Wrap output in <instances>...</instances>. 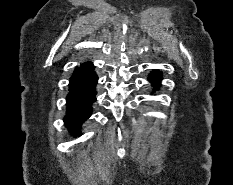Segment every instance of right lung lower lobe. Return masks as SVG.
Masks as SVG:
<instances>
[{"label":"right lung lower lobe","instance_id":"obj_1","mask_svg":"<svg viewBox=\"0 0 233 185\" xmlns=\"http://www.w3.org/2000/svg\"><path fill=\"white\" fill-rule=\"evenodd\" d=\"M97 81L91 62L77 67L70 79L64 122L73 136L81 135L82 123L91 116L92 105L96 101Z\"/></svg>","mask_w":233,"mask_h":185}]
</instances>
